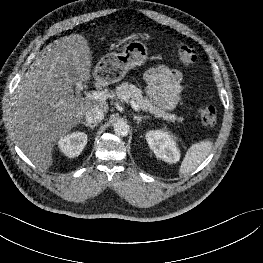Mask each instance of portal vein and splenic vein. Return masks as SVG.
<instances>
[{
	"instance_id": "portal-vein-and-splenic-vein-1",
	"label": "portal vein and splenic vein",
	"mask_w": 263,
	"mask_h": 263,
	"mask_svg": "<svg viewBox=\"0 0 263 263\" xmlns=\"http://www.w3.org/2000/svg\"><path fill=\"white\" fill-rule=\"evenodd\" d=\"M90 97L93 100L105 101L109 98V95L105 91H95ZM130 104L135 111H139V105L134 100H130Z\"/></svg>"
}]
</instances>
